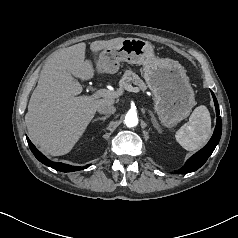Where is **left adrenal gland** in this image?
Segmentation results:
<instances>
[{"mask_svg":"<svg viewBox=\"0 0 238 238\" xmlns=\"http://www.w3.org/2000/svg\"><path fill=\"white\" fill-rule=\"evenodd\" d=\"M148 113L151 116V121H152L153 126L157 129V131L159 133H161V129L159 127V123H158L156 117L154 116V114L150 110H148Z\"/></svg>","mask_w":238,"mask_h":238,"instance_id":"1","label":"left adrenal gland"}]
</instances>
